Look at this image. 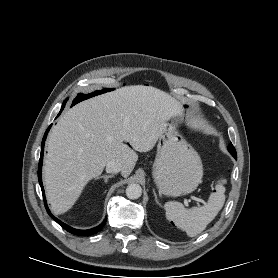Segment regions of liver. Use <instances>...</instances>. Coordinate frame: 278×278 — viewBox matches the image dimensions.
I'll return each mask as SVG.
<instances>
[{"mask_svg":"<svg viewBox=\"0 0 278 278\" xmlns=\"http://www.w3.org/2000/svg\"><path fill=\"white\" fill-rule=\"evenodd\" d=\"M181 112L175 98L143 85L95 96L66 111L47 140L43 172L51 209L56 214L71 209L109 161L121 163V175L129 176L138 160L135 151H150L165 124Z\"/></svg>","mask_w":278,"mask_h":278,"instance_id":"obj_1","label":"liver"}]
</instances>
